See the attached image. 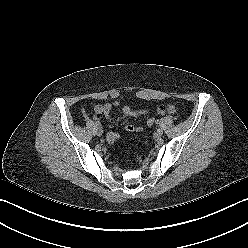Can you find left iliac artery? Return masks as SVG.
I'll return each instance as SVG.
<instances>
[{"mask_svg":"<svg viewBox=\"0 0 248 248\" xmlns=\"http://www.w3.org/2000/svg\"><path fill=\"white\" fill-rule=\"evenodd\" d=\"M155 123H156V124H159V120H156Z\"/></svg>","mask_w":248,"mask_h":248,"instance_id":"obj_1","label":"left iliac artery"}]
</instances>
